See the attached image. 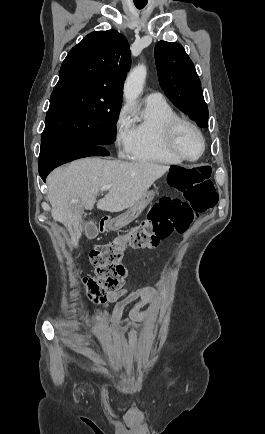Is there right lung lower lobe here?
Here are the masks:
<instances>
[{"mask_svg":"<svg viewBox=\"0 0 265 434\" xmlns=\"http://www.w3.org/2000/svg\"><path fill=\"white\" fill-rule=\"evenodd\" d=\"M108 151L98 145L70 146L62 144L42 145L39 156V174L45 182L47 175L56 167L75 159L89 156H108Z\"/></svg>","mask_w":265,"mask_h":434,"instance_id":"1","label":"right lung lower lobe"}]
</instances>
